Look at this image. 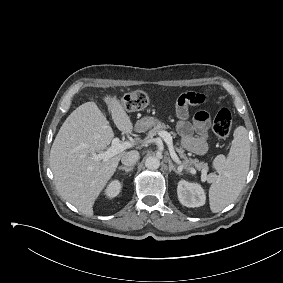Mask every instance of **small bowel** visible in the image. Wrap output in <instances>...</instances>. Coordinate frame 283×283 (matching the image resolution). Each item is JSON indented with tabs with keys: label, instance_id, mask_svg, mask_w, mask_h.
<instances>
[{
	"label": "small bowel",
	"instance_id": "small-bowel-1",
	"mask_svg": "<svg viewBox=\"0 0 283 283\" xmlns=\"http://www.w3.org/2000/svg\"><path fill=\"white\" fill-rule=\"evenodd\" d=\"M207 97L200 92L182 94L176 101L178 116L177 131L183 146L190 152L203 155L208 149L209 115L199 111L194 115L193 122L188 120L189 107L204 103Z\"/></svg>",
	"mask_w": 283,
	"mask_h": 283
}]
</instances>
